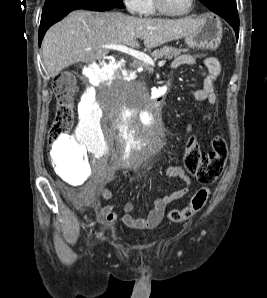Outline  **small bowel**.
<instances>
[{"label": "small bowel", "instance_id": "1", "mask_svg": "<svg viewBox=\"0 0 267 298\" xmlns=\"http://www.w3.org/2000/svg\"><path fill=\"white\" fill-rule=\"evenodd\" d=\"M195 64V58L191 55H180L175 58L171 64L173 69L181 66H190ZM205 65L208 68L209 75L204 77L201 82L200 88L195 90L194 97L197 101L214 105L218 101L215 86L216 80L221 72V65L217 58L208 57L205 59ZM211 120L212 117H209ZM165 174L171 179H180L184 182V186L170 194L164 195L154 199L152 208L148 215L143 218H136L133 216V204L127 202L124 205V214L122 222L124 226L131 230H147L155 228L163 219L165 208L168 204L179 200L187 195L190 191L192 184L191 177L187 171L179 165H170L165 169ZM110 177L111 175L108 174ZM100 196L103 199H110L112 192L108 187H104L100 191ZM85 203L94 206L99 215L102 223L113 225L118 220V214L114 211L113 204L102 205L100 204L96 194L88 192L83 196Z\"/></svg>", "mask_w": 267, "mask_h": 298}]
</instances>
